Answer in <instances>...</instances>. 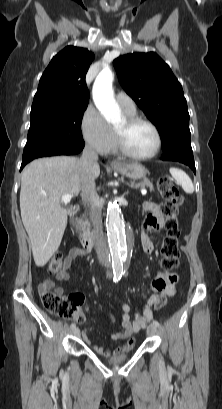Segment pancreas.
Masks as SVG:
<instances>
[{
	"instance_id": "cf45deb5",
	"label": "pancreas",
	"mask_w": 222,
	"mask_h": 409,
	"mask_svg": "<svg viewBox=\"0 0 222 409\" xmlns=\"http://www.w3.org/2000/svg\"><path fill=\"white\" fill-rule=\"evenodd\" d=\"M131 186H133L132 183ZM135 187L142 189L145 187H149L150 191L154 190L152 182H150V180L148 179H144L142 182L135 184ZM77 229L80 231V238H83L84 236H88L90 234V223L85 215H83L79 219Z\"/></svg>"
}]
</instances>
